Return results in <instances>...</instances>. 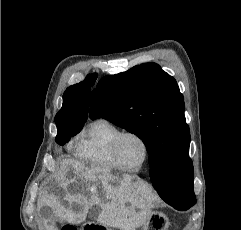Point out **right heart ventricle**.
I'll return each mask as SVG.
<instances>
[{
	"label": "right heart ventricle",
	"instance_id": "1",
	"mask_svg": "<svg viewBox=\"0 0 241 230\" xmlns=\"http://www.w3.org/2000/svg\"><path fill=\"white\" fill-rule=\"evenodd\" d=\"M120 132V128L110 120L103 117L95 119L82 134L76 149L78 157L92 164L117 168L112 144Z\"/></svg>",
	"mask_w": 241,
	"mask_h": 230
}]
</instances>
